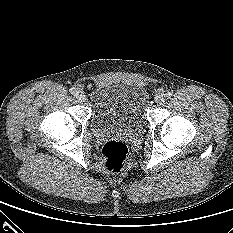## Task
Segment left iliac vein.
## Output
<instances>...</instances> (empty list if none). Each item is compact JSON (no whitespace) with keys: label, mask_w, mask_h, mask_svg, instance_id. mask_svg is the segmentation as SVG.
I'll return each mask as SVG.
<instances>
[{"label":"left iliac vein","mask_w":233,"mask_h":233,"mask_svg":"<svg viewBox=\"0 0 233 233\" xmlns=\"http://www.w3.org/2000/svg\"><path fill=\"white\" fill-rule=\"evenodd\" d=\"M166 101V96L164 94H159L157 97H156V102L157 104L159 105H163Z\"/></svg>","instance_id":"left-iliac-vein-1"}]
</instances>
